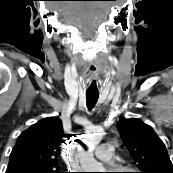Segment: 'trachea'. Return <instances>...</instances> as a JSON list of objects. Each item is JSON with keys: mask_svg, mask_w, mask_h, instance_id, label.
Masks as SVG:
<instances>
[{"mask_svg": "<svg viewBox=\"0 0 173 173\" xmlns=\"http://www.w3.org/2000/svg\"><path fill=\"white\" fill-rule=\"evenodd\" d=\"M99 94L97 93H86V103L89 110H91L97 103Z\"/></svg>", "mask_w": 173, "mask_h": 173, "instance_id": "1", "label": "trachea"}]
</instances>
